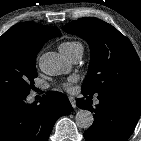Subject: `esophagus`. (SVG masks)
I'll use <instances>...</instances> for the list:
<instances>
[{"label":"esophagus","mask_w":141,"mask_h":141,"mask_svg":"<svg viewBox=\"0 0 141 141\" xmlns=\"http://www.w3.org/2000/svg\"><path fill=\"white\" fill-rule=\"evenodd\" d=\"M69 101H70L72 107H73V108H76V100H75V98L72 97V96H70V97H69Z\"/></svg>","instance_id":"1"}]
</instances>
